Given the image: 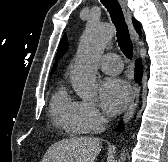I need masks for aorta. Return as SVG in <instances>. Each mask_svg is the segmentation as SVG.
I'll list each match as a JSON object with an SVG mask.
<instances>
[{
  "label": "aorta",
  "mask_w": 168,
  "mask_h": 162,
  "mask_svg": "<svg viewBox=\"0 0 168 162\" xmlns=\"http://www.w3.org/2000/svg\"><path fill=\"white\" fill-rule=\"evenodd\" d=\"M113 37L110 25L89 21L81 38L76 62L71 70V81L76 94L83 100L93 99L97 95L96 60L103 54ZM126 160L125 150L118 162Z\"/></svg>",
  "instance_id": "aorta-1"
}]
</instances>
